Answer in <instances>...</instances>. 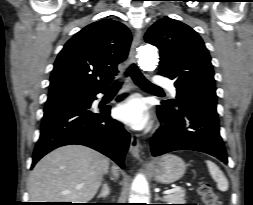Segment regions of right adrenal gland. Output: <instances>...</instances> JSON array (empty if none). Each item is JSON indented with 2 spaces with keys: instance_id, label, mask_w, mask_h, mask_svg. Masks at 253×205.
<instances>
[{
  "instance_id": "obj_1",
  "label": "right adrenal gland",
  "mask_w": 253,
  "mask_h": 205,
  "mask_svg": "<svg viewBox=\"0 0 253 205\" xmlns=\"http://www.w3.org/2000/svg\"><path fill=\"white\" fill-rule=\"evenodd\" d=\"M110 193V189L107 183L103 184L102 190L100 194L97 196V198H106Z\"/></svg>"
}]
</instances>
